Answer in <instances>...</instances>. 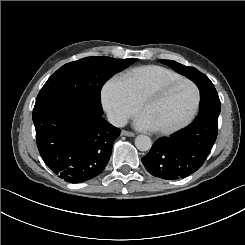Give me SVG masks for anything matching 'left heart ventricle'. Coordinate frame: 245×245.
<instances>
[{"label": "left heart ventricle", "mask_w": 245, "mask_h": 245, "mask_svg": "<svg viewBox=\"0 0 245 245\" xmlns=\"http://www.w3.org/2000/svg\"><path fill=\"white\" fill-rule=\"evenodd\" d=\"M193 100L191 88L177 84L152 93L140 109V114L152 128L175 125L188 113Z\"/></svg>", "instance_id": "1"}]
</instances>
